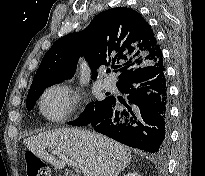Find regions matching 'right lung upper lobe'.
<instances>
[{"label":"right lung upper lobe","mask_w":205,"mask_h":176,"mask_svg":"<svg viewBox=\"0 0 205 176\" xmlns=\"http://www.w3.org/2000/svg\"><path fill=\"white\" fill-rule=\"evenodd\" d=\"M80 55L93 72L112 61L121 79L142 66L162 63V51L150 25L137 11L118 7L98 14L83 31L58 39L44 55L30 91L71 78Z\"/></svg>","instance_id":"right-lung-upper-lobe-1"}]
</instances>
